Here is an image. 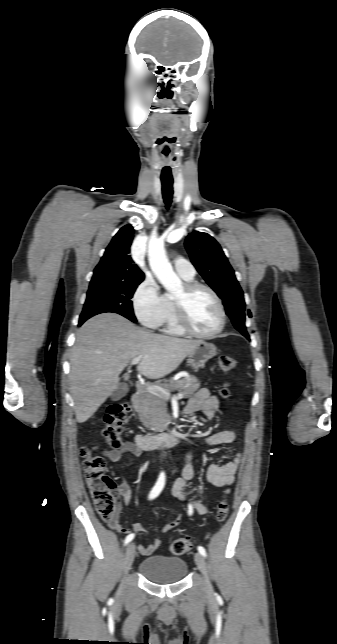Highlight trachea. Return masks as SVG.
<instances>
[{
    "label": "trachea",
    "mask_w": 337,
    "mask_h": 644,
    "mask_svg": "<svg viewBox=\"0 0 337 644\" xmlns=\"http://www.w3.org/2000/svg\"><path fill=\"white\" fill-rule=\"evenodd\" d=\"M161 183H162L163 199L166 204V207L169 208L171 205L172 196H173V181L162 179Z\"/></svg>",
    "instance_id": "1"
}]
</instances>
